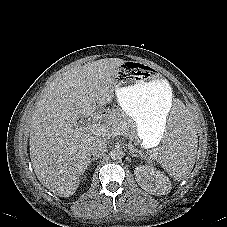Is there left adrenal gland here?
Instances as JSON below:
<instances>
[{
    "instance_id": "1",
    "label": "left adrenal gland",
    "mask_w": 227,
    "mask_h": 227,
    "mask_svg": "<svg viewBox=\"0 0 227 227\" xmlns=\"http://www.w3.org/2000/svg\"><path fill=\"white\" fill-rule=\"evenodd\" d=\"M132 157H137V154H135L134 152H130Z\"/></svg>"
}]
</instances>
